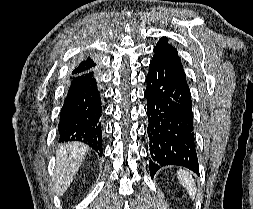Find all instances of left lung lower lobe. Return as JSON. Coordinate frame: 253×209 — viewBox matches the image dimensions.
Returning a JSON list of instances; mask_svg holds the SVG:
<instances>
[{
    "instance_id": "0a47b994",
    "label": "left lung lower lobe",
    "mask_w": 253,
    "mask_h": 209,
    "mask_svg": "<svg viewBox=\"0 0 253 209\" xmlns=\"http://www.w3.org/2000/svg\"><path fill=\"white\" fill-rule=\"evenodd\" d=\"M146 84L151 176L167 165L199 174L191 94L182 76L169 64L152 59Z\"/></svg>"
}]
</instances>
